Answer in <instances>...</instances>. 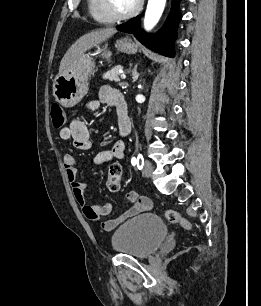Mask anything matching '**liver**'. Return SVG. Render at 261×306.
I'll list each match as a JSON object with an SVG mask.
<instances>
[{"label": "liver", "mask_w": 261, "mask_h": 306, "mask_svg": "<svg viewBox=\"0 0 261 306\" xmlns=\"http://www.w3.org/2000/svg\"><path fill=\"white\" fill-rule=\"evenodd\" d=\"M117 32L114 28L92 31L80 37L65 53L60 62L59 73L66 71L84 52L107 40Z\"/></svg>", "instance_id": "obj_1"}]
</instances>
